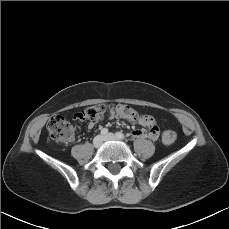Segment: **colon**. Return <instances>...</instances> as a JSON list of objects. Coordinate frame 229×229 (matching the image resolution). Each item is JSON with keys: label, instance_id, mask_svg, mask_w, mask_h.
<instances>
[{"label": "colon", "instance_id": "5ec220e1", "mask_svg": "<svg viewBox=\"0 0 229 229\" xmlns=\"http://www.w3.org/2000/svg\"><path fill=\"white\" fill-rule=\"evenodd\" d=\"M111 111L129 119H136L138 117L137 110L127 104L92 105L79 111L76 117L79 120L96 122L101 119L105 113ZM47 130L51 141L56 144L67 142L74 135V126L62 114H56L50 118L47 124ZM176 139L177 135L172 130H167L162 135V142L166 145L174 144Z\"/></svg>", "mask_w": 229, "mask_h": 229}]
</instances>
